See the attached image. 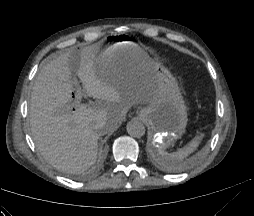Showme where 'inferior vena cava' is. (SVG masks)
Masks as SVG:
<instances>
[{"label": "inferior vena cava", "instance_id": "602c4592", "mask_svg": "<svg viewBox=\"0 0 254 216\" xmlns=\"http://www.w3.org/2000/svg\"><path fill=\"white\" fill-rule=\"evenodd\" d=\"M101 126H102V123H100V122L97 123V124H96V129H99Z\"/></svg>", "mask_w": 254, "mask_h": 216}]
</instances>
